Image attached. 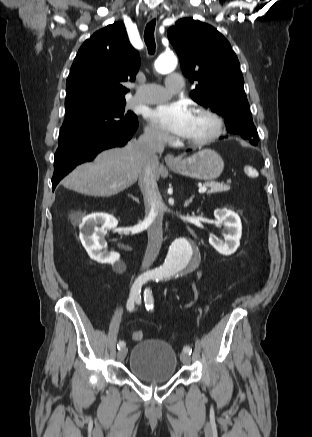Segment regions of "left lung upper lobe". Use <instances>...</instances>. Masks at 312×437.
<instances>
[{
  "mask_svg": "<svg viewBox=\"0 0 312 437\" xmlns=\"http://www.w3.org/2000/svg\"><path fill=\"white\" fill-rule=\"evenodd\" d=\"M182 71L197 82L191 98L225 117L231 133L258 141L239 61L225 37L209 24L183 18L168 30Z\"/></svg>",
  "mask_w": 312,
  "mask_h": 437,
  "instance_id": "1",
  "label": "left lung upper lobe"
}]
</instances>
